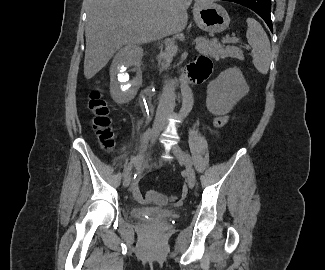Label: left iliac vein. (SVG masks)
<instances>
[{"label":"left iliac vein","instance_id":"4c4485c4","mask_svg":"<svg viewBox=\"0 0 325 270\" xmlns=\"http://www.w3.org/2000/svg\"><path fill=\"white\" fill-rule=\"evenodd\" d=\"M173 154L179 161L183 162L187 170V181L189 188H193L196 183V174L192 166L191 159L185 154V152L177 145L172 147Z\"/></svg>","mask_w":325,"mask_h":270}]
</instances>
